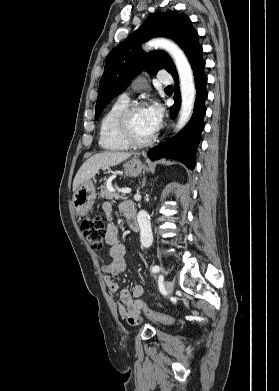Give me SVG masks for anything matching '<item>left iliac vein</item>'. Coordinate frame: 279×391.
<instances>
[{
	"label": "left iliac vein",
	"instance_id": "left-iliac-vein-1",
	"mask_svg": "<svg viewBox=\"0 0 279 391\" xmlns=\"http://www.w3.org/2000/svg\"><path fill=\"white\" fill-rule=\"evenodd\" d=\"M164 286H165V290H166V293L168 295H171L173 293V290H174V284L172 281L170 280H166L164 282Z\"/></svg>",
	"mask_w": 279,
	"mask_h": 391
}]
</instances>
